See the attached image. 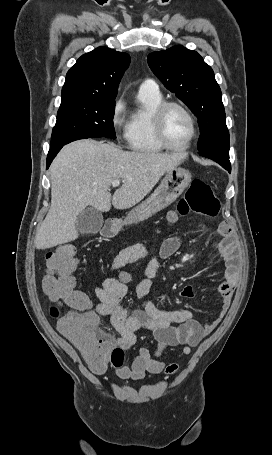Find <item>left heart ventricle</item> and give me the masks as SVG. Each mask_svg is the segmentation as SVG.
Wrapping results in <instances>:
<instances>
[{
  "mask_svg": "<svg viewBox=\"0 0 272 455\" xmlns=\"http://www.w3.org/2000/svg\"><path fill=\"white\" fill-rule=\"evenodd\" d=\"M165 133L173 145H184L191 136V124L186 114L178 108H170L164 121Z\"/></svg>",
  "mask_w": 272,
  "mask_h": 455,
  "instance_id": "obj_1",
  "label": "left heart ventricle"
}]
</instances>
